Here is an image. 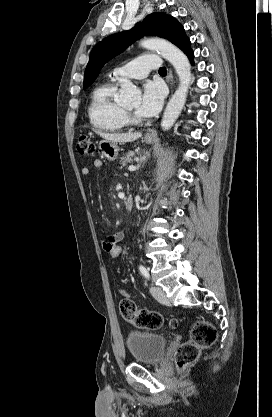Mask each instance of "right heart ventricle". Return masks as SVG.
<instances>
[{"label": "right heart ventricle", "instance_id": "1", "mask_svg": "<svg viewBox=\"0 0 272 417\" xmlns=\"http://www.w3.org/2000/svg\"><path fill=\"white\" fill-rule=\"evenodd\" d=\"M117 84L114 78L100 84L92 93L88 113L91 124L105 132L124 129L127 119L117 101Z\"/></svg>", "mask_w": 272, "mask_h": 417}]
</instances>
